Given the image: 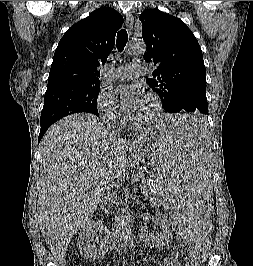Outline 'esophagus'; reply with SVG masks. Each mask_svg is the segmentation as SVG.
<instances>
[{
	"instance_id": "obj_1",
	"label": "esophagus",
	"mask_w": 253,
	"mask_h": 266,
	"mask_svg": "<svg viewBox=\"0 0 253 266\" xmlns=\"http://www.w3.org/2000/svg\"><path fill=\"white\" fill-rule=\"evenodd\" d=\"M125 23L128 31L131 33L134 24V18L131 13L126 14Z\"/></svg>"
}]
</instances>
